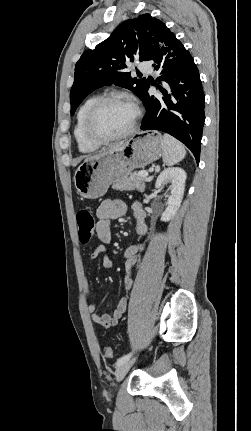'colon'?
<instances>
[{"instance_id":"5ec220e1","label":"colon","mask_w":251,"mask_h":431,"mask_svg":"<svg viewBox=\"0 0 251 431\" xmlns=\"http://www.w3.org/2000/svg\"><path fill=\"white\" fill-rule=\"evenodd\" d=\"M76 221L78 225L79 240L82 244L88 243L93 237L96 229L95 219L90 209L81 208L76 213ZM104 356L108 359L113 358V350L106 347Z\"/></svg>"}]
</instances>
